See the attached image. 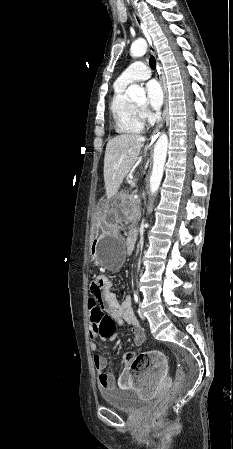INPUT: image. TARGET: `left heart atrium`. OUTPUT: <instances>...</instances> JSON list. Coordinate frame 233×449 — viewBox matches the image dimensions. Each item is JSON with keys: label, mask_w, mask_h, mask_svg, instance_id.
Returning <instances> with one entry per match:
<instances>
[{"label": "left heart atrium", "mask_w": 233, "mask_h": 449, "mask_svg": "<svg viewBox=\"0 0 233 449\" xmlns=\"http://www.w3.org/2000/svg\"><path fill=\"white\" fill-rule=\"evenodd\" d=\"M146 92L150 107L154 110L160 109L164 98L160 84L154 80L148 82L146 85Z\"/></svg>", "instance_id": "left-heart-atrium-1"}]
</instances>
